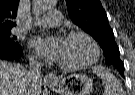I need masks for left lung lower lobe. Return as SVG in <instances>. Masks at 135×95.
I'll return each mask as SVG.
<instances>
[{
    "mask_svg": "<svg viewBox=\"0 0 135 95\" xmlns=\"http://www.w3.org/2000/svg\"><path fill=\"white\" fill-rule=\"evenodd\" d=\"M115 67L120 72L121 76L124 77V68H122V67L120 68V67H117V66H115Z\"/></svg>",
    "mask_w": 135,
    "mask_h": 95,
    "instance_id": "left-lung-lower-lobe-1",
    "label": "left lung lower lobe"
}]
</instances>
